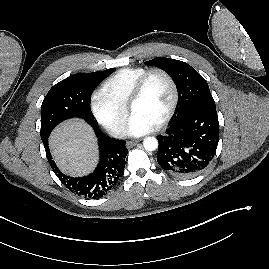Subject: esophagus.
<instances>
[{"mask_svg": "<svg viewBox=\"0 0 269 269\" xmlns=\"http://www.w3.org/2000/svg\"><path fill=\"white\" fill-rule=\"evenodd\" d=\"M139 141L138 140H132V141H127L126 143V147L128 149L132 148L133 146H135Z\"/></svg>", "mask_w": 269, "mask_h": 269, "instance_id": "1", "label": "esophagus"}]
</instances>
